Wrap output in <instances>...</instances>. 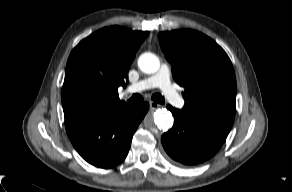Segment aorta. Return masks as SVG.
I'll use <instances>...</instances> for the list:
<instances>
[{
  "label": "aorta",
  "mask_w": 292,
  "mask_h": 192,
  "mask_svg": "<svg viewBox=\"0 0 292 192\" xmlns=\"http://www.w3.org/2000/svg\"><path fill=\"white\" fill-rule=\"evenodd\" d=\"M138 67L146 74H154L160 68V61L153 53H143L138 59ZM173 122L174 118L171 112L166 109H158L154 113L152 119L146 117L144 120V124L148 129L154 130L157 127L162 131H167L170 129L173 125Z\"/></svg>",
  "instance_id": "762f6f07"
}]
</instances>
